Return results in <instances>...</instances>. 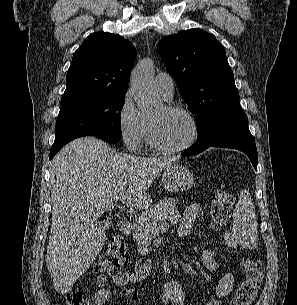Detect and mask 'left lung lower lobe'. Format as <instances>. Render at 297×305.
I'll return each instance as SVG.
<instances>
[{"label": "left lung lower lobe", "mask_w": 297, "mask_h": 305, "mask_svg": "<svg viewBox=\"0 0 297 305\" xmlns=\"http://www.w3.org/2000/svg\"><path fill=\"white\" fill-rule=\"evenodd\" d=\"M209 147H223L243 151L257 170L258 156L256 144L245 119L224 130L216 139L203 138L199 145H194L183 156L196 155Z\"/></svg>", "instance_id": "left-lung-lower-lobe-1"}]
</instances>
